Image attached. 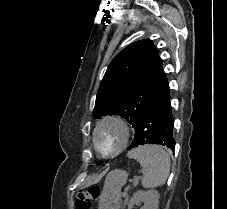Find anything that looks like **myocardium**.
<instances>
[{
  "instance_id": "obj_1",
  "label": "myocardium",
  "mask_w": 227,
  "mask_h": 209,
  "mask_svg": "<svg viewBox=\"0 0 227 209\" xmlns=\"http://www.w3.org/2000/svg\"><path fill=\"white\" fill-rule=\"evenodd\" d=\"M106 122H114V123L118 124L122 128L124 136H123V140H122L120 146L117 149H115L111 152H108V153H102L99 150V148L97 147L95 137H96V133H97V130L99 129V127ZM130 138H131V129L129 127L128 122L123 117H121L120 115H117V114H108V115L101 117L95 123V125L92 129V132H91L92 147H93L95 153L97 154V156L100 158H103V159L112 158V157L120 154L127 147L128 143L130 141Z\"/></svg>"
}]
</instances>
